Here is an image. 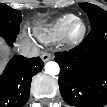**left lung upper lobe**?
I'll use <instances>...</instances> for the list:
<instances>
[{
  "mask_svg": "<svg viewBox=\"0 0 107 107\" xmlns=\"http://www.w3.org/2000/svg\"><path fill=\"white\" fill-rule=\"evenodd\" d=\"M80 7L88 14L92 27L107 21V12L100 7L89 3H81Z\"/></svg>",
  "mask_w": 107,
  "mask_h": 107,
  "instance_id": "1",
  "label": "left lung upper lobe"
}]
</instances>
